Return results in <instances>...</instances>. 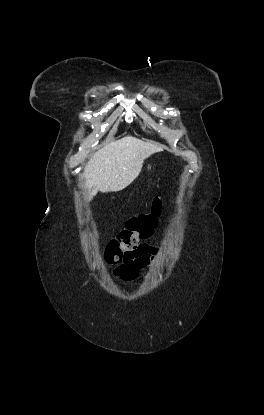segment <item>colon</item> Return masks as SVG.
Segmentation results:
<instances>
[{
	"mask_svg": "<svg viewBox=\"0 0 264 415\" xmlns=\"http://www.w3.org/2000/svg\"><path fill=\"white\" fill-rule=\"evenodd\" d=\"M161 213L159 198H155L148 212L131 218L118 236L112 239L105 250L103 259L108 265H127L135 257L140 246L154 233Z\"/></svg>",
	"mask_w": 264,
	"mask_h": 415,
	"instance_id": "obj_1",
	"label": "colon"
}]
</instances>
